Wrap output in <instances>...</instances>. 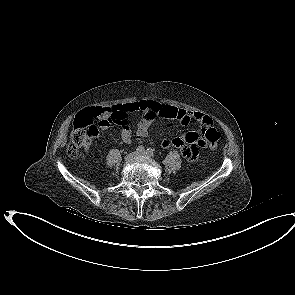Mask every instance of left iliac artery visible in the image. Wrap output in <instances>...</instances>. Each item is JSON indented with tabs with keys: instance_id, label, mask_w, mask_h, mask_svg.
<instances>
[{
	"instance_id": "1",
	"label": "left iliac artery",
	"mask_w": 295,
	"mask_h": 295,
	"mask_svg": "<svg viewBox=\"0 0 295 295\" xmlns=\"http://www.w3.org/2000/svg\"><path fill=\"white\" fill-rule=\"evenodd\" d=\"M146 153H147L149 156H154V150L151 149V148H148V149L146 150Z\"/></svg>"
}]
</instances>
